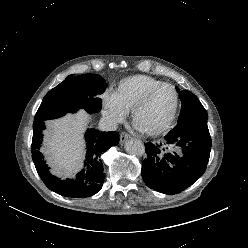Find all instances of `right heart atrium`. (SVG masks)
Wrapping results in <instances>:
<instances>
[{
    "instance_id": "obj_1",
    "label": "right heart atrium",
    "mask_w": 248,
    "mask_h": 248,
    "mask_svg": "<svg viewBox=\"0 0 248 248\" xmlns=\"http://www.w3.org/2000/svg\"><path fill=\"white\" fill-rule=\"evenodd\" d=\"M102 105L104 116L112 123H122L126 119L127 112L119 105L113 93L102 95Z\"/></svg>"
}]
</instances>
